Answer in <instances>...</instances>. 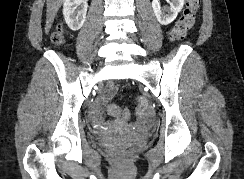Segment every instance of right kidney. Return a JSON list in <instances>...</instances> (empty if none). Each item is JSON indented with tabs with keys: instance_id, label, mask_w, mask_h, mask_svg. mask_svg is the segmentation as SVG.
Instances as JSON below:
<instances>
[{
	"instance_id": "ca27d5eb",
	"label": "right kidney",
	"mask_w": 244,
	"mask_h": 179,
	"mask_svg": "<svg viewBox=\"0 0 244 179\" xmlns=\"http://www.w3.org/2000/svg\"><path fill=\"white\" fill-rule=\"evenodd\" d=\"M88 0H64L63 4V16L64 20L73 32H77L82 28L86 14Z\"/></svg>"
}]
</instances>
